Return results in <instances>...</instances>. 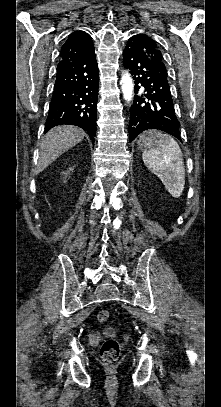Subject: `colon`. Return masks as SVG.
<instances>
[{"mask_svg":"<svg viewBox=\"0 0 221 407\" xmlns=\"http://www.w3.org/2000/svg\"><path fill=\"white\" fill-rule=\"evenodd\" d=\"M109 318L110 314L106 310H101L97 314V319L101 323L107 322ZM119 355L120 343L117 339H107L102 343L100 348V357L107 369L113 370L116 367Z\"/></svg>","mask_w":221,"mask_h":407,"instance_id":"1","label":"colon"}]
</instances>
